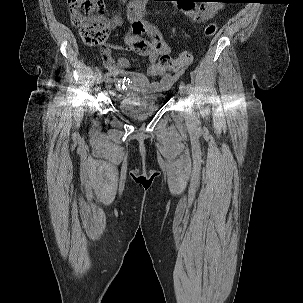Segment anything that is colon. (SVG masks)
Masks as SVG:
<instances>
[{"label": "colon", "mask_w": 303, "mask_h": 303, "mask_svg": "<svg viewBox=\"0 0 303 303\" xmlns=\"http://www.w3.org/2000/svg\"><path fill=\"white\" fill-rule=\"evenodd\" d=\"M73 24L79 29L82 41L87 46L102 45L109 33V26L103 20L104 6L101 0H68ZM217 31L215 23L206 25L204 35L211 38ZM192 61L190 52H182L173 59L168 52L160 55L156 69L159 73L179 70Z\"/></svg>", "instance_id": "1"}]
</instances>
